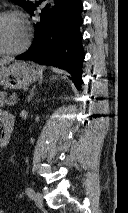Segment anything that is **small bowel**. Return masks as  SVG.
Here are the masks:
<instances>
[{
  "mask_svg": "<svg viewBox=\"0 0 128 213\" xmlns=\"http://www.w3.org/2000/svg\"><path fill=\"white\" fill-rule=\"evenodd\" d=\"M7 114V112H4L2 110H0V120L2 121L3 117ZM0 213H3L2 211H0Z\"/></svg>",
  "mask_w": 128,
  "mask_h": 213,
  "instance_id": "small-bowel-1",
  "label": "small bowel"
}]
</instances>
